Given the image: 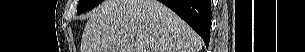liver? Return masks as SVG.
Wrapping results in <instances>:
<instances>
[{
	"instance_id": "6515ba94",
	"label": "liver",
	"mask_w": 305,
	"mask_h": 52,
	"mask_svg": "<svg viewBox=\"0 0 305 52\" xmlns=\"http://www.w3.org/2000/svg\"><path fill=\"white\" fill-rule=\"evenodd\" d=\"M200 36L156 0H105L90 14L81 52H200Z\"/></svg>"
}]
</instances>
